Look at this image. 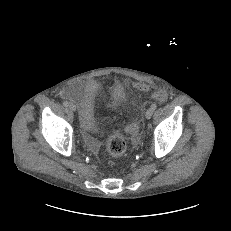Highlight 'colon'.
<instances>
[{
    "label": "colon",
    "instance_id": "1",
    "mask_svg": "<svg viewBox=\"0 0 231 231\" xmlns=\"http://www.w3.org/2000/svg\"><path fill=\"white\" fill-rule=\"evenodd\" d=\"M134 86L140 91L148 90V85L143 82H135ZM124 92H125V88L121 83H116L113 86V93L115 96L123 97ZM153 97L160 102H164L167 98V95L164 91H156L153 94ZM126 147H127L126 140L120 133H113L112 135L109 136L107 141V151L111 157L116 158L121 156L125 152Z\"/></svg>",
    "mask_w": 231,
    "mask_h": 231
}]
</instances>
